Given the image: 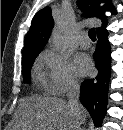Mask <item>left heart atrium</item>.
<instances>
[{"instance_id": "39dd6f15", "label": "left heart atrium", "mask_w": 123, "mask_h": 130, "mask_svg": "<svg viewBox=\"0 0 123 130\" xmlns=\"http://www.w3.org/2000/svg\"><path fill=\"white\" fill-rule=\"evenodd\" d=\"M74 62H75V67L77 72L82 76L89 74L90 71L92 70V66H93L92 61L85 54L77 55L75 57Z\"/></svg>"}]
</instances>
